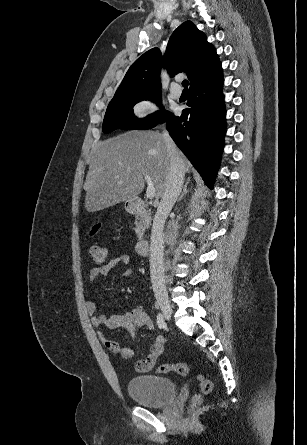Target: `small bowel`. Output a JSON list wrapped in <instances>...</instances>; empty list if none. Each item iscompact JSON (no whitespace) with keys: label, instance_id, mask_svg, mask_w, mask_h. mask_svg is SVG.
I'll use <instances>...</instances> for the list:
<instances>
[{"label":"small bowel","instance_id":"small-bowel-1","mask_svg":"<svg viewBox=\"0 0 307 445\" xmlns=\"http://www.w3.org/2000/svg\"><path fill=\"white\" fill-rule=\"evenodd\" d=\"M130 264V256L128 254H120L111 259L102 267L92 268L86 277L89 284H94L98 277L109 274L114 268L118 266H127ZM127 278L131 277V271L127 270L124 273ZM88 313L92 316V324L99 331L102 336L104 345L108 350L114 354L120 355L125 360H131L134 352L129 347H121L116 341L107 339L104 336L106 330L125 329L131 335L135 336L141 329L153 328V323L142 310V306L137 304L130 311L117 313L111 316H106L99 312V306L95 301H88L86 304ZM164 348V337L156 335L153 338L150 350L144 359L135 362V369L138 372L144 373L150 371L161 356Z\"/></svg>","mask_w":307,"mask_h":445}]
</instances>
